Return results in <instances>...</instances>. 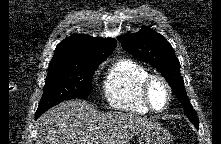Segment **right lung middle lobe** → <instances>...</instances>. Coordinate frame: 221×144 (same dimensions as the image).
<instances>
[{
	"label": "right lung middle lobe",
	"mask_w": 221,
	"mask_h": 144,
	"mask_svg": "<svg viewBox=\"0 0 221 144\" xmlns=\"http://www.w3.org/2000/svg\"><path fill=\"white\" fill-rule=\"evenodd\" d=\"M98 64L100 63L49 64L43 96L35 118L64 100L86 99Z\"/></svg>",
	"instance_id": "obj_1"
}]
</instances>
